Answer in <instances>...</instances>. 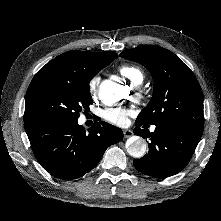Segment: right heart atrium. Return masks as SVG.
I'll use <instances>...</instances> for the list:
<instances>
[{"instance_id":"obj_1","label":"right heart atrium","mask_w":221,"mask_h":221,"mask_svg":"<svg viewBox=\"0 0 221 221\" xmlns=\"http://www.w3.org/2000/svg\"><path fill=\"white\" fill-rule=\"evenodd\" d=\"M101 78L99 75H94L88 82V89L89 92L94 95L96 94L99 84H100Z\"/></svg>"}]
</instances>
